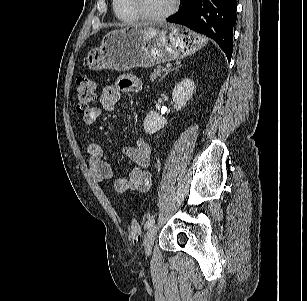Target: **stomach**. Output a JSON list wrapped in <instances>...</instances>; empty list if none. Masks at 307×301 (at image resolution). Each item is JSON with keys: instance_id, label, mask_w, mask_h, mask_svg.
<instances>
[{"instance_id": "stomach-1", "label": "stomach", "mask_w": 307, "mask_h": 301, "mask_svg": "<svg viewBox=\"0 0 307 301\" xmlns=\"http://www.w3.org/2000/svg\"><path fill=\"white\" fill-rule=\"evenodd\" d=\"M205 44L203 36L181 25L141 24L109 32L84 63L96 71H127L189 56Z\"/></svg>"}]
</instances>
